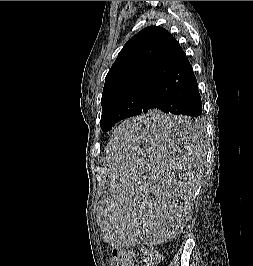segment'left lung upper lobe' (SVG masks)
Wrapping results in <instances>:
<instances>
[{
    "instance_id": "5c2ea615",
    "label": "left lung upper lobe",
    "mask_w": 253,
    "mask_h": 266,
    "mask_svg": "<svg viewBox=\"0 0 253 266\" xmlns=\"http://www.w3.org/2000/svg\"><path fill=\"white\" fill-rule=\"evenodd\" d=\"M172 40L166 29L149 26L126 42L106 76L101 98L103 131L141 114L150 80Z\"/></svg>"
}]
</instances>
